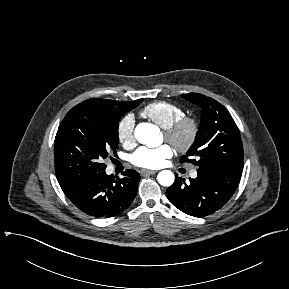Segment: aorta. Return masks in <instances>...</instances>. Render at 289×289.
<instances>
[{
	"label": "aorta",
	"mask_w": 289,
	"mask_h": 289,
	"mask_svg": "<svg viewBox=\"0 0 289 289\" xmlns=\"http://www.w3.org/2000/svg\"><path fill=\"white\" fill-rule=\"evenodd\" d=\"M158 133V128L151 123L138 124L134 132L137 141L149 147H156L159 145ZM157 180L160 185L169 187L174 183L175 176L170 170H163L159 172Z\"/></svg>",
	"instance_id": "1"
}]
</instances>
